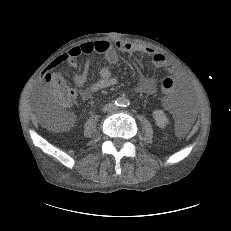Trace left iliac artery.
<instances>
[{"label":"left iliac artery","mask_w":231,"mask_h":231,"mask_svg":"<svg viewBox=\"0 0 231 231\" xmlns=\"http://www.w3.org/2000/svg\"><path fill=\"white\" fill-rule=\"evenodd\" d=\"M129 104H130L129 101H128V100H125L123 106H124V107H127V106H129Z\"/></svg>","instance_id":"1"}]
</instances>
